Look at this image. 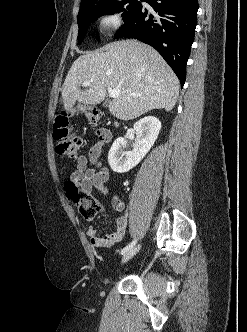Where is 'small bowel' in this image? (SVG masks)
Returning a JSON list of instances; mask_svg holds the SVG:
<instances>
[{
    "label": "small bowel",
    "instance_id": "c3829d8e",
    "mask_svg": "<svg viewBox=\"0 0 247 332\" xmlns=\"http://www.w3.org/2000/svg\"><path fill=\"white\" fill-rule=\"evenodd\" d=\"M112 139L110 131L107 129H99L97 131V141L91 146L88 156L80 155L77 158L75 170L70 176L73 182L84 193L90 194L92 190L98 189L103 193H107V182L109 180V171L100 162V154L102 147L108 144ZM89 163L92 167H89ZM112 208L121 212L124 209V202L118 196L111 199ZM127 217L119 215L114 220V231L105 236H98L97 230L93 226L87 229V235L94 247H111L123 240L126 234Z\"/></svg>",
    "mask_w": 247,
    "mask_h": 332
}]
</instances>
